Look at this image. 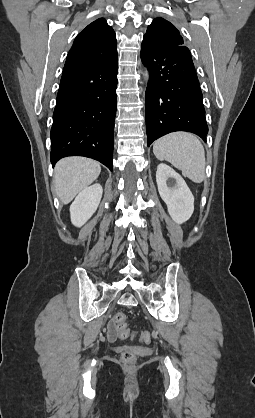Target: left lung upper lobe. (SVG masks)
Returning <instances> with one entry per match:
<instances>
[{
    "label": "left lung upper lobe",
    "instance_id": "5c2ea615",
    "mask_svg": "<svg viewBox=\"0 0 255 418\" xmlns=\"http://www.w3.org/2000/svg\"><path fill=\"white\" fill-rule=\"evenodd\" d=\"M142 44L157 51H170L185 47L183 38L176 27L163 18H156L148 26Z\"/></svg>",
    "mask_w": 255,
    "mask_h": 418
}]
</instances>
